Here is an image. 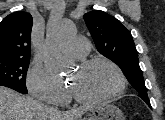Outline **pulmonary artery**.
Wrapping results in <instances>:
<instances>
[{
	"mask_svg": "<svg viewBox=\"0 0 165 120\" xmlns=\"http://www.w3.org/2000/svg\"><path fill=\"white\" fill-rule=\"evenodd\" d=\"M64 51L72 57H83L89 51V44L82 38H75L65 46Z\"/></svg>",
	"mask_w": 165,
	"mask_h": 120,
	"instance_id": "1",
	"label": "pulmonary artery"
}]
</instances>
